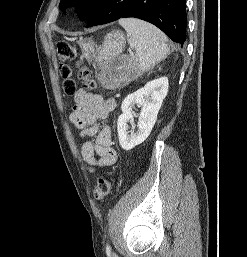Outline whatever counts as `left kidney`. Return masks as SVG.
<instances>
[{
    "instance_id": "5707ae66",
    "label": "left kidney",
    "mask_w": 247,
    "mask_h": 257,
    "mask_svg": "<svg viewBox=\"0 0 247 257\" xmlns=\"http://www.w3.org/2000/svg\"><path fill=\"white\" fill-rule=\"evenodd\" d=\"M168 79L161 77L148 82L144 87L129 94L122 102V114L118 118L117 130L119 143L124 150H131L141 144L150 135L157 120V114L168 92ZM135 104L141 106L137 124L138 130L129 135L128 122L133 118L132 108Z\"/></svg>"
}]
</instances>
